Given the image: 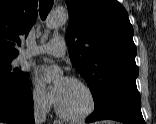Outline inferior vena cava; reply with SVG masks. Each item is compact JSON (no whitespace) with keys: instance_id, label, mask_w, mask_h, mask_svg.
Instances as JSON below:
<instances>
[{"instance_id":"1","label":"inferior vena cava","mask_w":156,"mask_h":124,"mask_svg":"<svg viewBox=\"0 0 156 124\" xmlns=\"http://www.w3.org/2000/svg\"><path fill=\"white\" fill-rule=\"evenodd\" d=\"M34 102V120L36 124H43L46 119V99L42 94H35L33 96Z\"/></svg>"}]
</instances>
